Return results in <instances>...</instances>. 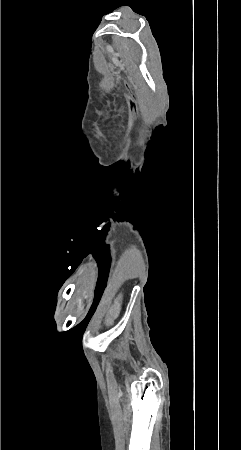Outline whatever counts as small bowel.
<instances>
[{"instance_id":"obj_1","label":"small bowel","mask_w":241,"mask_h":450,"mask_svg":"<svg viewBox=\"0 0 241 450\" xmlns=\"http://www.w3.org/2000/svg\"><path fill=\"white\" fill-rule=\"evenodd\" d=\"M100 316L104 319H123L125 317V312L123 310H104L100 313Z\"/></svg>"}]
</instances>
